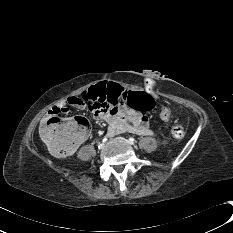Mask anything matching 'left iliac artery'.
<instances>
[{
	"label": "left iliac artery",
	"mask_w": 233,
	"mask_h": 233,
	"mask_svg": "<svg viewBox=\"0 0 233 233\" xmlns=\"http://www.w3.org/2000/svg\"><path fill=\"white\" fill-rule=\"evenodd\" d=\"M129 142H130L131 144H134L135 139H134V138H129Z\"/></svg>",
	"instance_id": "left-iliac-artery-1"
}]
</instances>
